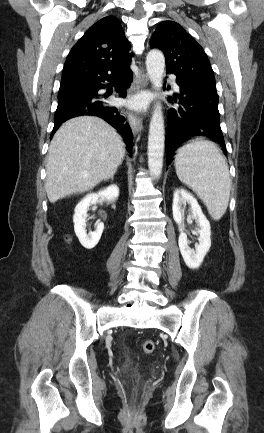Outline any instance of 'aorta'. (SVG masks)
<instances>
[{"label": "aorta", "instance_id": "1", "mask_svg": "<svg viewBox=\"0 0 264 433\" xmlns=\"http://www.w3.org/2000/svg\"><path fill=\"white\" fill-rule=\"evenodd\" d=\"M147 74L153 86L159 90L162 86L165 58L161 51L151 50L146 57ZM165 129L162 107L157 103L150 120L148 136V167L151 176L159 179L162 173L164 157Z\"/></svg>", "mask_w": 264, "mask_h": 433}]
</instances>
